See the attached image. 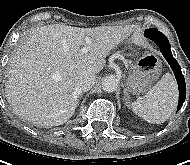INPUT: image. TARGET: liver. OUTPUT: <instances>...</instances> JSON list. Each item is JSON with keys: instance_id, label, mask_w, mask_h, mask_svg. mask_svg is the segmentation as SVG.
I'll return each instance as SVG.
<instances>
[{"instance_id": "1", "label": "liver", "mask_w": 190, "mask_h": 165, "mask_svg": "<svg viewBox=\"0 0 190 165\" xmlns=\"http://www.w3.org/2000/svg\"><path fill=\"white\" fill-rule=\"evenodd\" d=\"M134 31L138 32L134 25L79 28L64 24L33 30L9 62L5 86L9 104L18 116L35 125L65 123L77 106V76L99 73L110 51ZM88 37L90 49L82 53ZM134 41H138L136 36Z\"/></svg>"}]
</instances>
